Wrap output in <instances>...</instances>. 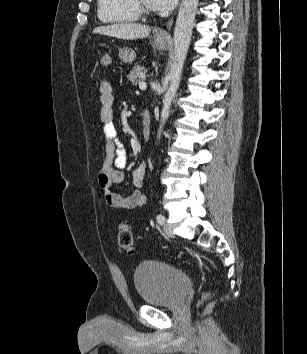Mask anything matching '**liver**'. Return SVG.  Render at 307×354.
I'll use <instances>...</instances> for the list:
<instances>
[{
  "label": "liver",
  "mask_w": 307,
  "mask_h": 354,
  "mask_svg": "<svg viewBox=\"0 0 307 354\" xmlns=\"http://www.w3.org/2000/svg\"><path fill=\"white\" fill-rule=\"evenodd\" d=\"M151 32L149 26L136 23H117L108 26H99L93 30L95 34L107 35L124 40L143 39Z\"/></svg>",
  "instance_id": "1"
}]
</instances>
